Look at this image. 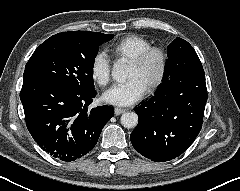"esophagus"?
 <instances>
[{"instance_id": "1", "label": "esophagus", "mask_w": 240, "mask_h": 191, "mask_svg": "<svg viewBox=\"0 0 240 191\" xmlns=\"http://www.w3.org/2000/svg\"><path fill=\"white\" fill-rule=\"evenodd\" d=\"M125 111H126V110L123 109V108H115V109H114L115 115H120V114L124 113Z\"/></svg>"}]
</instances>
